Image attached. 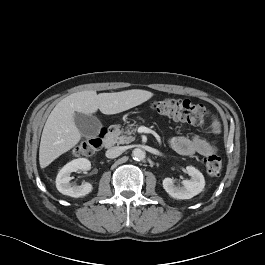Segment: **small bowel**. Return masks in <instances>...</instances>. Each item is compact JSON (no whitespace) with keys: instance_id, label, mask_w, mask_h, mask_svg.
Listing matches in <instances>:
<instances>
[{"instance_id":"1","label":"small bowel","mask_w":265,"mask_h":265,"mask_svg":"<svg viewBox=\"0 0 265 265\" xmlns=\"http://www.w3.org/2000/svg\"><path fill=\"white\" fill-rule=\"evenodd\" d=\"M220 131V123L214 117L212 123L208 129V133L216 135ZM169 146L171 149L183 156H192L199 154L202 156H209L216 151L213 143L199 137L193 136L191 138L176 136L169 140Z\"/></svg>"}]
</instances>
